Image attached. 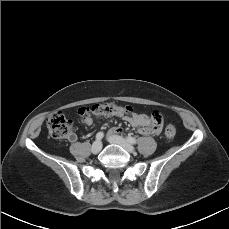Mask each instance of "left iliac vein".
Returning <instances> with one entry per match:
<instances>
[{
    "label": "left iliac vein",
    "instance_id": "left-iliac-vein-1",
    "mask_svg": "<svg viewBox=\"0 0 229 229\" xmlns=\"http://www.w3.org/2000/svg\"><path fill=\"white\" fill-rule=\"evenodd\" d=\"M108 141L112 144H117L123 147L126 151L133 153L135 151V148L124 138L118 136V135H112L108 137Z\"/></svg>",
    "mask_w": 229,
    "mask_h": 229
}]
</instances>
